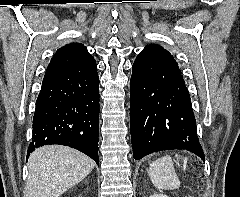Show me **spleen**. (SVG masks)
<instances>
[{"instance_id":"obj_1","label":"spleen","mask_w":240,"mask_h":197,"mask_svg":"<svg viewBox=\"0 0 240 197\" xmlns=\"http://www.w3.org/2000/svg\"><path fill=\"white\" fill-rule=\"evenodd\" d=\"M148 172L153 185L159 190H172L180 186L170 156H163L152 162Z\"/></svg>"}]
</instances>
